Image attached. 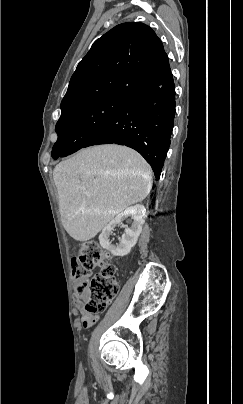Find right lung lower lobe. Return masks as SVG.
Wrapping results in <instances>:
<instances>
[{
    "label": "right lung lower lobe",
    "instance_id": "right-lung-lower-lobe-1",
    "mask_svg": "<svg viewBox=\"0 0 243 404\" xmlns=\"http://www.w3.org/2000/svg\"><path fill=\"white\" fill-rule=\"evenodd\" d=\"M175 116V85L170 74L161 84L129 97L84 145L116 143L138 151L158 180L170 146Z\"/></svg>",
    "mask_w": 243,
    "mask_h": 404
}]
</instances>
